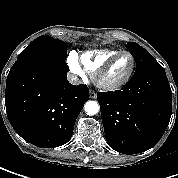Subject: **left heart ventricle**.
Instances as JSON below:
<instances>
[{"mask_svg":"<svg viewBox=\"0 0 178 178\" xmlns=\"http://www.w3.org/2000/svg\"><path fill=\"white\" fill-rule=\"evenodd\" d=\"M132 67V60L129 55L125 54L119 57L103 76L106 83H114L126 76Z\"/></svg>","mask_w":178,"mask_h":178,"instance_id":"1","label":"left heart ventricle"}]
</instances>
